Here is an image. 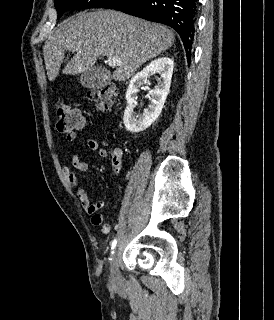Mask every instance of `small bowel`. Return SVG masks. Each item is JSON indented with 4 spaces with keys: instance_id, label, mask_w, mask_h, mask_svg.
I'll return each mask as SVG.
<instances>
[{
    "instance_id": "1",
    "label": "small bowel",
    "mask_w": 274,
    "mask_h": 320,
    "mask_svg": "<svg viewBox=\"0 0 274 320\" xmlns=\"http://www.w3.org/2000/svg\"><path fill=\"white\" fill-rule=\"evenodd\" d=\"M88 124V119H79L78 130L86 131ZM76 138V131H72L65 135L64 144L59 151L61 170L67 183L78 198L82 209L87 215L90 216L91 223L95 226H98L103 224L104 222V216L100 213V210H102L105 206L104 201L98 200L96 202H91L88 192L80 184L76 173L69 167L68 164H66L64 160L68 145L73 143ZM86 145L91 151L97 153L100 157H109L114 176L119 177L121 175L124 166V151L122 148H115L109 153L95 139L91 138L86 141ZM70 163L74 169L81 172H85L89 169V162L86 160H82L77 153H73L71 155Z\"/></svg>"
}]
</instances>
